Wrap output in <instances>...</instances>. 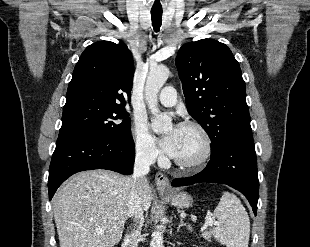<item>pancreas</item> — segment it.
Returning a JSON list of instances; mask_svg holds the SVG:
<instances>
[{"instance_id":"cf45deb5","label":"pancreas","mask_w":310,"mask_h":247,"mask_svg":"<svg viewBox=\"0 0 310 247\" xmlns=\"http://www.w3.org/2000/svg\"><path fill=\"white\" fill-rule=\"evenodd\" d=\"M202 237L205 238L206 240L210 241L211 240V232H208V231L203 232Z\"/></svg>"}]
</instances>
